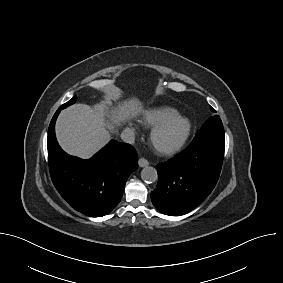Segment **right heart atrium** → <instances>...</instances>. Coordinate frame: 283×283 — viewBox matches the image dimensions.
<instances>
[{"label":"right heart atrium","instance_id":"1","mask_svg":"<svg viewBox=\"0 0 283 283\" xmlns=\"http://www.w3.org/2000/svg\"><path fill=\"white\" fill-rule=\"evenodd\" d=\"M129 129H131V130H133V131L136 130V128H135L132 124L129 125Z\"/></svg>","mask_w":283,"mask_h":283}]
</instances>
